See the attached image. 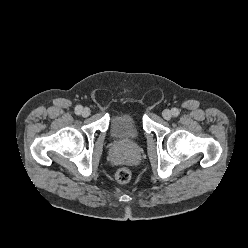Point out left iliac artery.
I'll return each instance as SVG.
<instances>
[{
    "instance_id": "obj_1",
    "label": "left iliac artery",
    "mask_w": 248,
    "mask_h": 248,
    "mask_svg": "<svg viewBox=\"0 0 248 248\" xmlns=\"http://www.w3.org/2000/svg\"><path fill=\"white\" fill-rule=\"evenodd\" d=\"M172 114H173V116H178L179 115V110L177 109V108H173L172 109Z\"/></svg>"
}]
</instances>
